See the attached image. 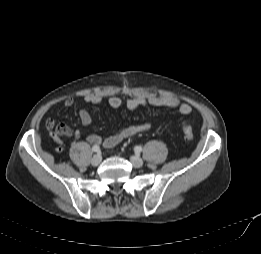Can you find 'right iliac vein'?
<instances>
[{
    "mask_svg": "<svg viewBox=\"0 0 261 254\" xmlns=\"http://www.w3.org/2000/svg\"><path fill=\"white\" fill-rule=\"evenodd\" d=\"M102 157L100 154H96L91 159V164L93 166H98L101 163Z\"/></svg>",
    "mask_w": 261,
    "mask_h": 254,
    "instance_id": "right-iliac-vein-1",
    "label": "right iliac vein"
}]
</instances>
